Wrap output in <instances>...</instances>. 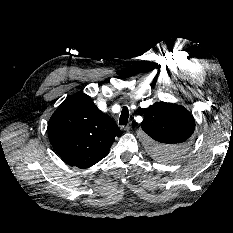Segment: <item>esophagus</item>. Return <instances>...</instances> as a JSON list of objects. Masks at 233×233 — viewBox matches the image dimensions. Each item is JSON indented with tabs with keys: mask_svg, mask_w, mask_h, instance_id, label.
Segmentation results:
<instances>
[{
	"mask_svg": "<svg viewBox=\"0 0 233 233\" xmlns=\"http://www.w3.org/2000/svg\"><path fill=\"white\" fill-rule=\"evenodd\" d=\"M131 127H132V124L129 123V124H127L126 126H123V130L126 131V132H128V131L131 130Z\"/></svg>",
	"mask_w": 233,
	"mask_h": 233,
	"instance_id": "1",
	"label": "esophagus"
}]
</instances>
